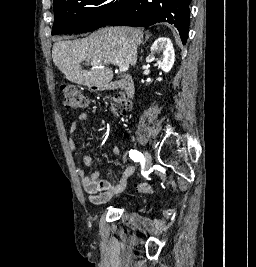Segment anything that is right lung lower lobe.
Here are the masks:
<instances>
[{"instance_id":"1","label":"right lung lower lobe","mask_w":256,"mask_h":267,"mask_svg":"<svg viewBox=\"0 0 256 267\" xmlns=\"http://www.w3.org/2000/svg\"><path fill=\"white\" fill-rule=\"evenodd\" d=\"M191 0H132L124 13L106 25L147 27L157 22L174 24L185 44L189 31Z\"/></svg>"}]
</instances>
